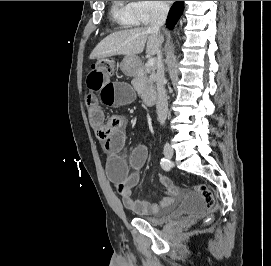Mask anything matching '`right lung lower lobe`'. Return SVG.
Masks as SVG:
<instances>
[{"instance_id": "right-lung-lower-lobe-1", "label": "right lung lower lobe", "mask_w": 271, "mask_h": 266, "mask_svg": "<svg viewBox=\"0 0 271 266\" xmlns=\"http://www.w3.org/2000/svg\"><path fill=\"white\" fill-rule=\"evenodd\" d=\"M184 9V2L183 1H179V2H175L168 14L167 20H166V25L167 28H169L170 30L174 27V25L176 24V22L178 21V19L180 18L182 12Z\"/></svg>"}]
</instances>
